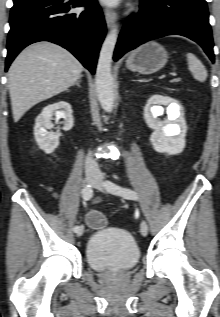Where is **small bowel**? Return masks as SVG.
<instances>
[{
	"mask_svg": "<svg viewBox=\"0 0 220 317\" xmlns=\"http://www.w3.org/2000/svg\"><path fill=\"white\" fill-rule=\"evenodd\" d=\"M48 190L51 192V195L54 199L58 198V194L53 190L51 186L48 187Z\"/></svg>",
	"mask_w": 220,
	"mask_h": 317,
	"instance_id": "1",
	"label": "small bowel"
}]
</instances>
